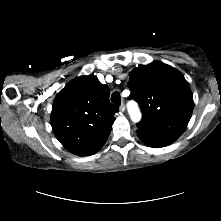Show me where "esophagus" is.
Wrapping results in <instances>:
<instances>
[{
    "label": "esophagus",
    "instance_id": "34e87169",
    "mask_svg": "<svg viewBox=\"0 0 221 221\" xmlns=\"http://www.w3.org/2000/svg\"><path fill=\"white\" fill-rule=\"evenodd\" d=\"M119 109H120L121 112H124V111H125V106H124V104H121Z\"/></svg>",
    "mask_w": 221,
    "mask_h": 221
}]
</instances>
